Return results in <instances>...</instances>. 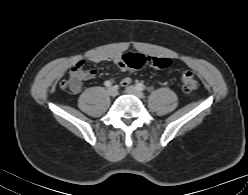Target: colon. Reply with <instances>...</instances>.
I'll return each instance as SVG.
<instances>
[{"instance_id":"1","label":"colon","mask_w":248,"mask_h":195,"mask_svg":"<svg viewBox=\"0 0 248 195\" xmlns=\"http://www.w3.org/2000/svg\"><path fill=\"white\" fill-rule=\"evenodd\" d=\"M122 65L129 69H138L146 64L151 65L157 69H167L171 65V60L165 57H151L138 53H126L120 56ZM82 64H77L73 67L66 80H63L60 84L62 89H69L77 91L80 89L83 80ZM181 86L186 94H193L198 88V81L196 76L191 71H185L181 77Z\"/></svg>"}]
</instances>
